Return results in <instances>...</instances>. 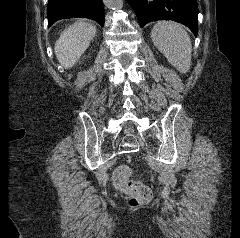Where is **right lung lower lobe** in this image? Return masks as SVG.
<instances>
[{
    "instance_id": "98d812e1",
    "label": "right lung lower lobe",
    "mask_w": 240,
    "mask_h": 238,
    "mask_svg": "<svg viewBox=\"0 0 240 238\" xmlns=\"http://www.w3.org/2000/svg\"><path fill=\"white\" fill-rule=\"evenodd\" d=\"M48 27L60 19L85 17L104 25L102 0H49L47 8Z\"/></svg>"
}]
</instances>
